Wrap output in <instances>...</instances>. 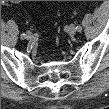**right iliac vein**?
<instances>
[{
	"instance_id": "63e3f726",
	"label": "right iliac vein",
	"mask_w": 109,
	"mask_h": 109,
	"mask_svg": "<svg viewBox=\"0 0 109 109\" xmlns=\"http://www.w3.org/2000/svg\"><path fill=\"white\" fill-rule=\"evenodd\" d=\"M25 38H26L27 40H30V39L33 38V34H32L30 31H28V32L25 34Z\"/></svg>"
}]
</instances>
